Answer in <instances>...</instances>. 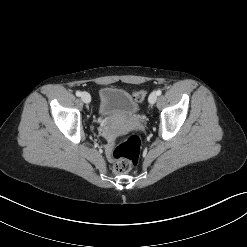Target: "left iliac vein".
I'll return each mask as SVG.
<instances>
[{
	"label": "left iliac vein",
	"instance_id": "obj_1",
	"mask_svg": "<svg viewBox=\"0 0 247 247\" xmlns=\"http://www.w3.org/2000/svg\"><path fill=\"white\" fill-rule=\"evenodd\" d=\"M157 100V94L156 92H152L150 95H149V98H148V101L150 104H154Z\"/></svg>",
	"mask_w": 247,
	"mask_h": 247
}]
</instances>
